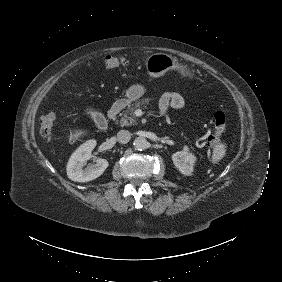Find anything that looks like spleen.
<instances>
[{
	"mask_svg": "<svg viewBox=\"0 0 282 282\" xmlns=\"http://www.w3.org/2000/svg\"><path fill=\"white\" fill-rule=\"evenodd\" d=\"M226 154V144L219 143L213 149L212 163L217 164Z\"/></svg>",
	"mask_w": 282,
	"mask_h": 282,
	"instance_id": "spleen-1",
	"label": "spleen"
}]
</instances>
